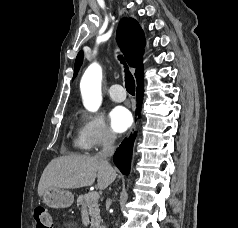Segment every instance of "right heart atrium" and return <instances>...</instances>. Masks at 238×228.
<instances>
[{
  "label": "right heart atrium",
  "instance_id": "1",
  "mask_svg": "<svg viewBox=\"0 0 238 228\" xmlns=\"http://www.w3.org/2000/svg\"><path fill=\"white\" fill-rule=\"evenodd\" d=\"M78 137L89 152L111 146L115 142V136L103 116L97 113H82Z\"/></svg>",
  "mask_w": 238,
  "mask_h": 228
}]
</instances>
